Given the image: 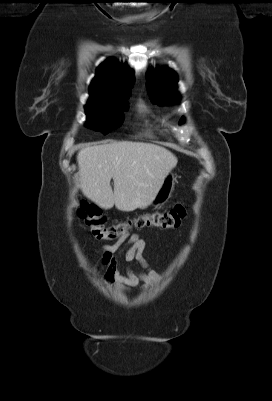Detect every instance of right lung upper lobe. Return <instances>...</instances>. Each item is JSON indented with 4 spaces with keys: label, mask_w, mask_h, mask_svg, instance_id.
Instances as JSON below:
<instances>
[{
    "label": "right lung upper lobe",
    "mask_w": 272,
    "mask_h": 401,
    "mask_svg": "<svg viewBox=\"0 0 272 401\" xmlns=\"http://www.w3.org/2000/svg\"><path fill=\"white\" fill-rule=\"evenodd\" d=\"M134 85L132 71L113 59L103 62L89 87L90 99L131 93Z\"/></svg>",
    "instance_id": "right-lung-upper-lobe-1"
}]
</instances>
